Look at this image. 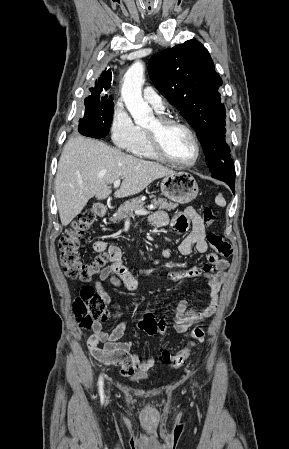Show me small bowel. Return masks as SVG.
<instances>
[{"label": "small bowel", "instance_id": "1", "mask_svg": "<svg viewBox=\"0 0 289 449\" xmlns=\"http://www.w3.org/2000/svg\"><path fill=\"white\" fill-rule=\"evenodd\" d=\"M151 223L156 227H163L170 223L177 233H184L188 230L189 224L192 228L190 233L182 240L178 246L181 255H190L195 249L198 253L204 254L208 250L206 240L205 224L193 207H187L183 212L176 213L171 221L165 212H157L150 217ZM96 252H106L109 256L110 264L103 269L94 281L93 289L103 300L109 304L111 297L105 289V282L109 281L113 286L118 287L121 283L124 287L133 291L136 288V280L122 262V252L118 246L110 245L104 240H97L93 243ZM162 256L166 259L172 257L170 249H163ZM228 260L217 255L208 256V264L203 267L194 266L186 270H173L169 273V278L173 281H183L187 279L204 276L208 281V301L206 305L197 311H188V302L181 300L176 306L174 329L177 333H185L192 325L209 318L217 308L219 291L222 281L226 276ZM148 272V270H144ZM109 317L106 312L101 320L94 324L92 335L88 338L87 345L92 355L100 362L108 365L121 367V372L125 376L135 373L145 374L150 372L155 365L156 358L151 357L141 360L138 353H131L133 343L131 341H121L127 326L128 318L122 320L111 332H107L102 327V321ZM100 344H103L100 347Z\"/></svg>", "mask_w": 289, "mask_h": 449}]
</instances>
